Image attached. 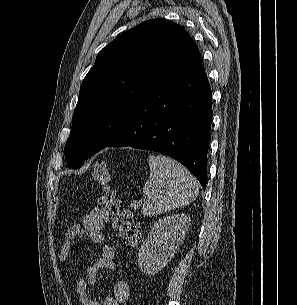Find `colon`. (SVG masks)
<instances>
[{
	"mask_svg": "<svg viewBox=\"0 0 297 305\" xmlns=\"http://www.w3.org/2000/svg\"><path fill=\"white\" fill-rule=\"evenodd\" d=\"M93 180L98 188L99 203L111 219L114 230L127 246H137L141 241L138 223L132 212L120 201L117 192L110 187V172L104 161L95 164Z\"/></svg>",
	"mask_w": 297,
	"mask_h": 305,
	"instance_id": "5ec220e1",
	"label": "colon"
}]
</instances>
